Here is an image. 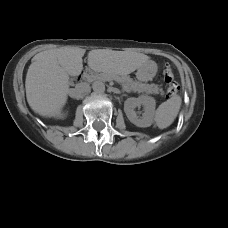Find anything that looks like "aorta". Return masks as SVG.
I'll list each match as a JSON object with an SVG mask.
<instances>
[{"instance_id":"762f6f07","label":"aorta","mask_w":228,"mask_h":228,"mask_svg":"<svg viewBox=\"0 0 228 228\" xmlns=\"http://www.w3.org/2000/svg\"><path fill=\"white\" fill-rule=\"evenodd\" d=\"M93 91L97 94H104L106 88L105 84L100 81H96L92 84Z\"/></svg>"}]
</instances>
